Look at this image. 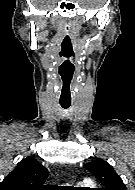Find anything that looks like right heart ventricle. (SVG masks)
I'll return each mask as SVG.
<instances>
[{
	"label": "right heart ventricle",
	"mask_w": 135,
	"mask_h": 190,
	"mask_svg": "<svg viewBox=\"0 0 135 190\" xmlns=\"http://www.w3.org/2000/svg\"><path fill=\"white\" fill-rule=\"evenodd\" d=\"M81 186L87 187V186H90V183L89 182H85V183H82Z\"/></svg>",
	"instance_id": "right-heart-ventricle-1"
}]
</instances>
